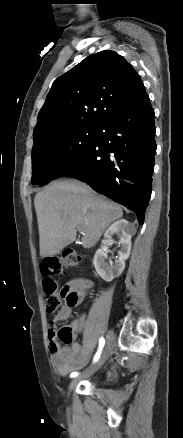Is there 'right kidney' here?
<instances>
[{"mask_svg":"<svg viewBox=\"0 0 183 438\" xmlns=\"http://www.w3.org/2000/svg\"><path fill=\"white\" fill-rule=\"evenodd\" d=\"M133 233H135L134 225L125 219L114 222L106 230L101 248L96 251L93 258L95 270L103 280L110 282L123 272L125 260H127L130 255L131 237ZM114 234L120 239L118 243L120 247L118 251L119 257L114 263L112 261L106 262L108 244L113 241L112 235Z\"/></svg>","mask_w":183,"mask_h":438,"instance_id":"ca27d5eb","label":"right kidney"}]
</instances>
